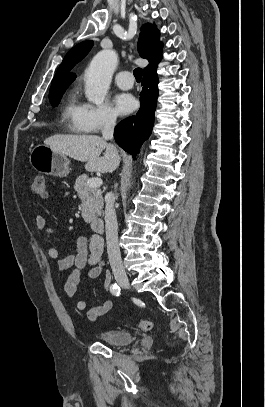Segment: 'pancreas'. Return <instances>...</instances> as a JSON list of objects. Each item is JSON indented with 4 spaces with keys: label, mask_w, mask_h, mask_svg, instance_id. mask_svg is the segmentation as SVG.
Wrapping results in <instances>:
<instances>
[{
    "label": "pancreas",
    "mask_w": 265,
    "mask_h": 407,
    "mask_svg": "<svg viewBox=\"0 0 265 407\" xmlns=\"http://www.w3.org/2000/svg\"><path fill=\"white\" fill-rule=\"evenodd\" d=\"M88 180V175L83 174L76 179L74 185V189L82 201L80 210L86 222H90L96 216L101 215L103 208L101 190L97 187H89L87 185Z\"/></svg>",
    "instance_id": "1"
}]
</instances>
